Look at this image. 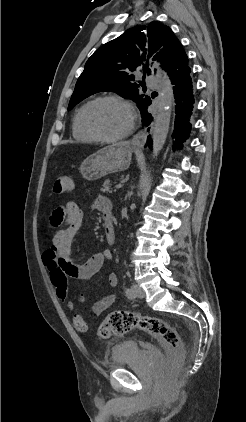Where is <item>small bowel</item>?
I'll list each match as a JSON object with an SVG mask.
<instances>
[{
	"instance_id": "obj_1",
	"label": "small bowel",
	"mask_w": 246,
	"mask_h": 422,
	"mask_svg": "<svg viewBox=\"0 0 246 422\" xmlns=\"http://www.w3.org/2000/svg\"><path fill=\"white\" fill-rule=\"evenodd\" d=\"M93 208L103 212L104 222L107 219L112 221L111 205L106 198H98L94 202ZM83 217V210L73 202L59 206L52 212L48 223L50 230L53 232L52 245L44 255V262L47 268L50 259L56 257L65 266L67 275L73 278L88 279L96 274L106 261L112 259V253L105 249L90 257L84 264L77 265L73 262L71 244L82 227ZM63 221H65L66 226L58 229ZM117 282L118 280L115 274L112 273L108 276L110 287L115 288ZM115 300V294H107L99 297L91 307L92 313L95 315L102 314L114 304ZM67 307L69 310H72L73 304L68 302Z\"/></svg>"
}]
</instances>
